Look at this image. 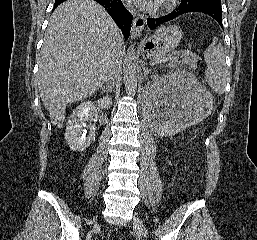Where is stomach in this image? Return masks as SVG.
<instances>
[{
	"mask_svg": "<svg viewBox=\"0 0 257 240\" xmlns=\"http://www.w3.org/2000/svg\"><path fill=\"white\" fill-rule=\"evenodd\" d=\"M183 37L180 27L172 25L160 27L143 44V55L151 57H161L172 51Z\"/></svg>",
	"mask_w": 257,
	"mask_h": 240,
	"instance_id": "stomach-1",
	"label": "stomach"
}]
</instances>
